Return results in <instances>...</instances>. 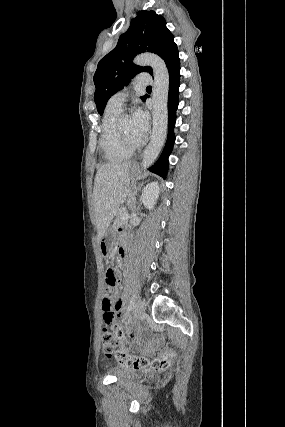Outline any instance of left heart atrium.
<instances>
[{
	"label": "left heart atrium",
	"instance_id": "left-heart-atrium-1",
	"mask_svg": "<svg viewBox=\"0 0 285 427\" xmlns=\"http://www.w3.org/2000/svg\"><path fill=\"white\" fill-rule=\"evenodd\" d=\"M136 135L139 140L145 139L149 129V116L143 108H138L132 115Z\"/></svg>",
	"mask_w": 285,
	"mask_h": 427
}]
</instances>
